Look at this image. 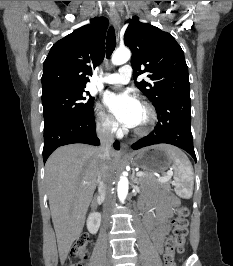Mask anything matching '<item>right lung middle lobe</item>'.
Masks as SVG:
<instances>
[{"label": "right lung middle lobe", "instance_id": "right-lung-middle-lobe-1", "mask_svg": "<svg viewBox=\"0 0 233 266\" xmlns=\"http://www.w3.org/2000/svg\"><path fill=\"white\" fill-rule=\"evenodd\" d=\"M84 88L54 91L42 95L44 128L65 120L93 112L94 98H87Z\"/></svg>", "mask_w": 233, "mask_h": 266}]
</instances>
